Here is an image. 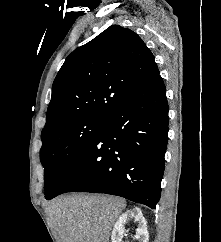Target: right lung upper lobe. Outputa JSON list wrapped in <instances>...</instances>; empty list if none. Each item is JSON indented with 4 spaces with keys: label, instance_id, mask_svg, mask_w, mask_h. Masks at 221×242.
Wrapping results in <instances>:
<instances>
[{
    "label": "right lung upper lobe",
    "instance_id": "cb5924a9",
    "mask_svg": "<svg viewBox=\"0 0 221 242\" xmlns=\"http://www.w3.org/2000/svg\"><path fill=\"white\" fill-rule=\"evenodd\" d=\"M158 75L142 39L130 29L110 26L66 58L53 83L42 134L77 119L104 117Z\"/></svg>",
    "mask_w": 221,
    "mask_h": 242
}]
</instances>
